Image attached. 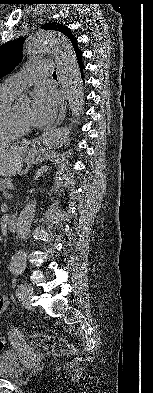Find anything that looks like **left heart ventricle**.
Instances as JSON below:
<instances>
[{
    "instance_id": "1",
    "label": "left heart ventricle",
    "mask_w": 153,
    "mask_h": 393,
    "mask_svg": "<svg viewBox=\"0 0 153 393\" xmlns=\"http://www.w3.org/2000/svg\"><path fill=\"white\" fill-rule=\"evenodd\" d=\"M15 113L19 120L26 125H29V113L30 107L29 103H21L15 107Z\"/></svg>"
}]
</instances>
